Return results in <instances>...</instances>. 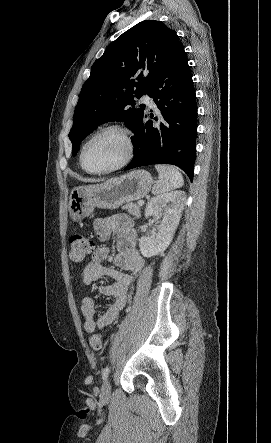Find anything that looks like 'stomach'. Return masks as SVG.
Segmentation results:
<instances>
[{"label":"stomach","mask_w":271,"mask_h":443,"mask_svg":"<svg viewBox=\"0 0 271 443\" xmlns=\"http://www.w3.org/2000/svg\"><path fill=\"white\" fill-rule=\"evenodd\" d=\"M153 180L146 170H134L96 186H77L70 192L68 212L73 222L88 218L95 208L115 210L126 202L141 200L148 194Z\"/></svg>","instance_id":"stomach-1"}]
</instances>
